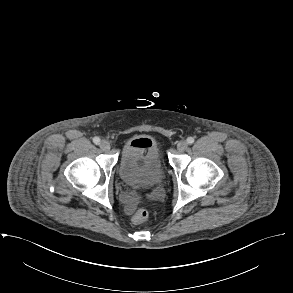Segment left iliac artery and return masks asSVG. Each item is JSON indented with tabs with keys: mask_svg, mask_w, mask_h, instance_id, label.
Masks as SVG:
<instances>
[{
	"mask_svg": "<svg viewBox=\"0 0 293 293\" xmlns=\"http://www.w3.org/2000/svg\"><path fill=\"white\" fill-rule=\"evenodd\" d=\"M187 143H188V144H192V143H194V138H193V137H188V138H187Z\"/></svg>",
	"mask_w": 293,
	"mask_h": 293,
	"instance_id": "44dca946",
	"label": "left iliac artery"
}]
</instances>
